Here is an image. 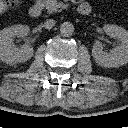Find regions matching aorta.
Listing matches in <instances>:
<instances>
[{
	"label": "aorta",
	"mask_w": 128,
	"mask_h": 128,
	"mask_svg": "<svg viewBox=\"0 0 128 128\" xmlns=\"http://www.w3.org/2000/svg\"><path fill=\"white\" fill-rule=\"evenodd\" d=\"M60 32L63 36L69 37L74 33V26L71 22H63L60 26Z\"/></svg>",
	"instance_id": "aorta-1"
}]
</instances>
